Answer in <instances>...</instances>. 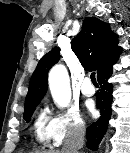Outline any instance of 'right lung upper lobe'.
Wrapping results in <instances>:
<instances>
[{"label": "right lung upper lobe", "instance_id": "1", "mask_svg": "<svg viewBox=\"0 0 130 153\" xmlns=\"http://www.w3.org/2000/svg\"><path fill=\"white\" fill-rule=\"evenodd\" d=\"M117 44V35L96 17L84 19L82 30L71 41L72 50L82 66L86 70L97 71L98 76L117 61L121 51ZM59 59L58 48H53L41 58L30 80L25 107L41 101L48 88V71Z\"/></svg>", "mask_w": 130, "mask_h": 153}]
</instances>
